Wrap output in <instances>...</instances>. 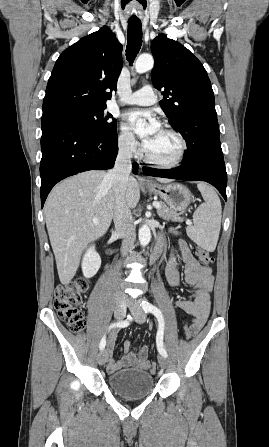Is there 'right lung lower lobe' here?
Wrapping results in <instances>:
<instances>
[{
  "label": "right lung lower lobe",
  "mask_w": 269,
  "mask_h": 447,
  "mask_svg": "<svg viewBox=\"0 0 269 447\" xmlns=\"http://www.w3.org/2000/svg\"><path fill=\"white\" fill-rule=\"evenodd\" d=\"M42 159L41 204L60 180L87 170H105L114 166L118 153L117 134H104L81 125L64 112H49L41 120ZM138 173V164H133Z\"/></svg>",
  "instance_id": "obj_1"
}]
</instances>
